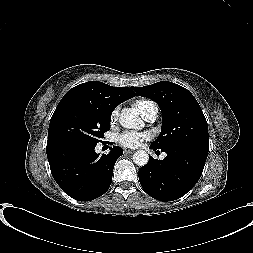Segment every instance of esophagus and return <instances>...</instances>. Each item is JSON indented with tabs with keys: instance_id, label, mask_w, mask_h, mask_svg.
I'll return each instance as SVG.
<instances>
[{
	"instance_id": "1",
	"label": "esophagus",
	"mask_w": 253,
	"mask_h": 253,
	"mask_svg": "<svg viewBox=\"0 0 253 253\" xmlns=\"http://www.w3.org/2000/svg\"><path fill=\"white\" fill-rule=\"evenodd\" d=\"M134 150L124 149V154H133Z\"/></svg>"
}]
</instances>
